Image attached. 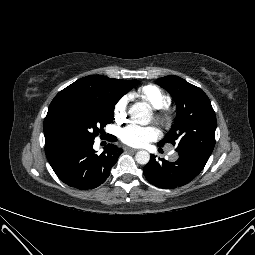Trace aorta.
<instances>
[{
  "label": "aorta",
  "mask_w": 255,
  "mask_h": 255,
  "mask_svg": "<svg viewBox=\"0 0 255 255\" xmlns=\"http://www.w3.org/2000/svg\"><path fill=\"white\" fill-rule=\"evenodd\" d=\"M131 119L141 125H147L151 120L150 111L145 103L139 102L132 105L128 111ZM138 164L146 165L150 160V154L147 151H138L135 155Z\"/></svg>",
  "instance_id": "aorta-1"
}]
</instances>
